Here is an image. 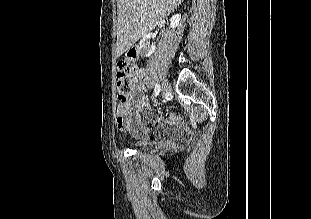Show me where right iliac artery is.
<instances>
[{
    "label": "right iliac artery",
    "instance_id": "obj_1",
    "mask_svg": "<svg viewBox=\"0 0 311 219\" xmlns=\"http://www.w3.org/2000/svg\"><path fill=\"white\" fill-rule=\"evenodd\" d=\"M159 93H160V85L156 84L155 89H154V94H155V96H157V95H159Z\"/></svg>",
    "mask_w": 311,
    "mask_h": 219
}]
</instances>
